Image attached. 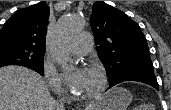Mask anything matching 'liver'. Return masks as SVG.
I'll return each instance as SVG.
<instances>
[{"label": "liver", "mask_w": 171, "mask_h": 110, "mask_svg": "<svg viewBox=\"0 0 171 110\" xmlns=\"http://www.w3.org/2000/svg\"><path fill=\"white\" fill-rule=\"evenodd\" d=\"M99 103L89 106L97 108ZM0 110H60L45 80L22 66L0 68Z\"/></svg>", "instance_id": "6515ba94"}]
</instances>
